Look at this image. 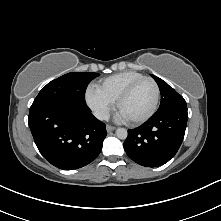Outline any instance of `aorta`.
I'll list each match as a JSON object with an SVG mask.
<instances>
[{
    "label": "aorta",
    "mask_w": 221,
    "mask_h": 221,
    "mask_svg": "<svg viewBox=\"0 0 221 221\" xmlns=\"http://www.w3.org/2000/svg\"><path fill=\"white\" fill-rule=\"evenodd\" d=\"M127 135H128V132L125 128H117L116 129V136L119 138V139H126L127 138Z\"/></svg>",
    "instance_id": "obj_1"
}]
</instances>
